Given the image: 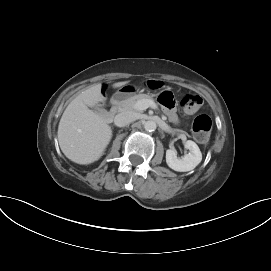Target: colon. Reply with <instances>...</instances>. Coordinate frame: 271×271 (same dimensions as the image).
<instances>
[{
    "label": "colon",
    "instance_id": "5ec220e1",
    "mask_svg": "<svg viewBox=\"0 0 271 271\" xmlns=\"http://www.w3.org/2000/svg\"><path fill=\"white\" fill-rule=\"evenodd\" d=\"M147 85L150 89L159 90L162 88V83L156 80H149ZM159 100L165 107L174 105L173 95L170 91L163 90L160 93ZM181 108L185 114H193L202 105V99L197 95L187 94L180 102ZM212 129V121L205 114L195 117L192 123V131L194 138L201 144H206L210 138Z\"/></svg>",
    "mask_w": 271,
    "mask_h": 271
}]
</instances>
